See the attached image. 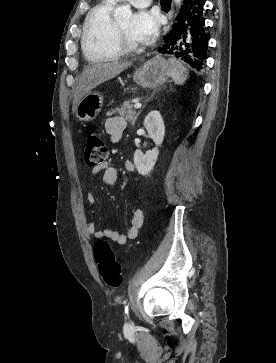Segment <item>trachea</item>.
<instances>
[{
    "instance_id": "trachea-1",
    "label": "trachea",
    "mask_w": 276,
    "mask_h": 363,
    "mask_svg": "<svg viewBox=\"0 0 276 363\" xmlns=\"http://www.w3.org/2000/svg\"><path fill=\"white\" fill-rule=\"evenodd\" d=\"M170 4V0H161V5L164 6V5H168Z\"/></svg>"
}]
</instances>
